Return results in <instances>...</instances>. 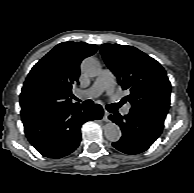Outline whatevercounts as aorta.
Segmentation results:
<instances>
[{"mask_svg":"<svg viewBox=\"0 0 194 193\" xmlns=\"http://www.w3.org/2000/svg\"><path fill=\"white\" fill-rule=\"evenodd\" d=\"M81 70L88 77H96L100 73L101 66L97 59L88 57L83 60ZM104 135L107 140L117 142L121 138V130L117 124L108 122L104 126Z\"/></svg>","mask_w":194,"mask_h":193,"instance_id":"1","label":"aorta"}]
</instances>
